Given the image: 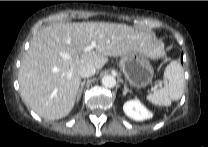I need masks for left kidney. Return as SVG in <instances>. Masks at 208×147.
<instances>
[{"label": "left kidney", "instance_id": "5707ae66", "mask_svg": "<svg viewBox=\"0 0 208 147\" xmlns=\"http://www.w3.org/2000/svg\"><path fill=\"white\" fill-rule=\"evenodd\" d=\"M124 113L135 121L152 118V113L139 101L129 100L123 105Z\"/></svg>", "mask_w": 208, "mask_h": 147}]
</instances>
